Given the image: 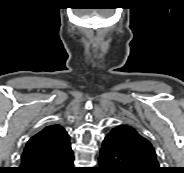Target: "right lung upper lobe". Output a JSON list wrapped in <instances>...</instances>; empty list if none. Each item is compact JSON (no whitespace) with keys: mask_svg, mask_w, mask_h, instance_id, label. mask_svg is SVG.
Listing matches in <instances>:
<instances>
[{"mask_svg":"<svg viewBox=\"0 0 184 173\" xmlns=\"http://www.w3.org/2000/svg\"><path fill=\"white\" fill-rule=\"evenodd\" d=\"M71 149L69 135L58 125H50L34 135L26 144L21 165L57 157Z\"/></svg>","mask_w":184,"mask_h":173,"instance_id":"1","label":"right lung upper lobe"}]
</instances>
